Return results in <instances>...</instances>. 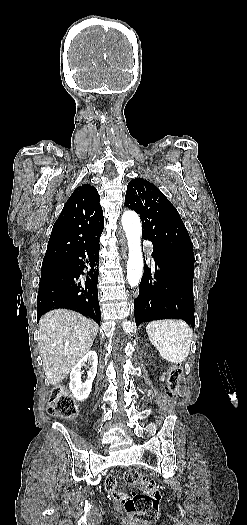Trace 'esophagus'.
I'll use <instances>...</instances> for the list:
<instances>
[{
  "instance_id": "esophagus-1",
  "label": "esophagus",
  "mask_w": 247,
  "mask_h": 525,
  "mask_svg": "<svg viewBox=\"0 0 247 525\" xmlns=\"http://www.w3.org/2000/svg\"><path fill=\"white\" fill-rule=\"evenodd\" d=\"M121 237H122V238H121V243H122V245H125V238H124V235L121 234ZM122 253H123L124 256H125V249H124V247H122Z\"/></svg>"
}]
</instances>
